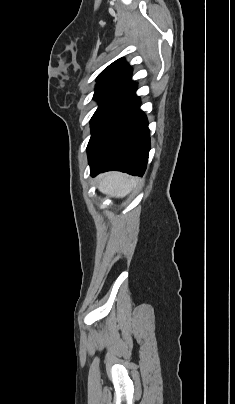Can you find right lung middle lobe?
<instances>
[{
	"instance_id": "1",
	"label": "right lung middle lobe",
	"mask_w": 235,
	"mask_h": 404,
	"mask_svg": "<svg viewBox=\"0 0 235 404\" xmlns=\"http://www.w3.org/2000/svg\"><path fill=\"white\" fill-rule=\"evenodd\" d=\"M128 87V85L120 84L96 86L94 99L99 102V106L91 119L92 131L105 117L109 110L123 97Z\"/></svg>"
}]
</instances>
